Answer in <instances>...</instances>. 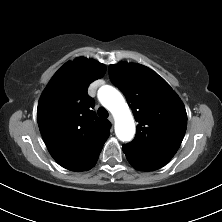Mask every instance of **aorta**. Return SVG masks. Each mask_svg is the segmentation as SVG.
<instances>
[{
	"mask_svg": "<svg viewBox=\"0 0 222 222\" xmlns=\"http://www.w3.org/2000/svg\"><path fill=\"white\" fill-rule=\"evenodd\" d=\"M101 104L115 118V133L121 141H130L135 134V123L131 111L121 93L112 86H103L98 91Z\"/></svg>",
	"mask_w": 222,
	"mask_h": 222,
	"instance_id": "obj_1",
	"label": "aorta"
}]
</instances>
